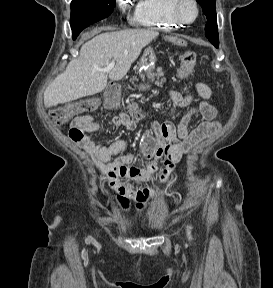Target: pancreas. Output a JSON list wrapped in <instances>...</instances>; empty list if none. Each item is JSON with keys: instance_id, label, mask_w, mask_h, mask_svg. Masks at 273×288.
Listing matches in <instances>:
<instances>
[{"instance_id": "cf45deb5", "label": "pancreas", "mask_w": 273, "mask_h": 288, "mask_svg": "<svg viewBox=\"0 0 273 288\" xmlns=\"http://www.w3.org/2000/svg\"><path fill=\"white\" fill-rule=\"evenodd\" d=\"M163 76H164V73L162 72L161 69H158L156 74L147 73V78L150 79V80H155V77H156L155 83L157 85H160V86L166 81V79ZM140 78L142 79V81H144L145 80V75L141 74ZM134 81H138L137 77H133L131 79L132 83H134Z\"/></svg>"}]
</instances>
